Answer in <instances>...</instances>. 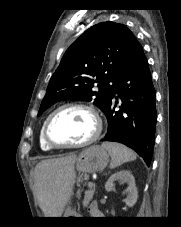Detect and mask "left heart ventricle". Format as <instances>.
I'll return each instance as SVG.
<instances>
[{"label":"left heart ventricle","mask_w":181,"mask_h":227,"mask_svg":"<svg viewBox=\"0 0 181 227\" xmlns=\"http://www.w3.org/2000/svg\"><path fill=\"white\" fill-rule=\"evenodd\" d=\"M94 131L91 115L78 108L60 111L52 120L50 136L58 143H77L86 140Z\"/></svg>","instance_id":"obj_1"}]
</instances>
